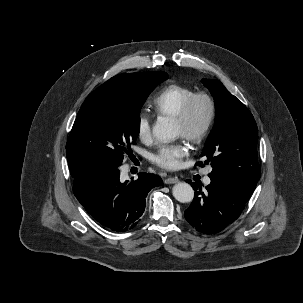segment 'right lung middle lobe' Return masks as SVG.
<instances>
[{
    "instance_id": "right-lung-middle-lobe-1",
    "label": "right lung middle lobe",
    "mask_w": 303,
    "mask_h": 303,
    "mask_svg": "<svg viewBox=\"0 0 303 303\" xmlns=\"http://www.w3.org/2000/svg\"><path fill=\"white\" fill-rule=\"evenodd\" d=\"M168 78L153 72L143 85L133 87L111 78L84 101L66 144L72 176L92 164L119 167L131 153L139 134L140 108L155 88Z\"/></svg>"
}]
</instances>
